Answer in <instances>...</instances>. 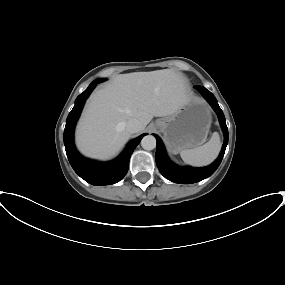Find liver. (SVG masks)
Listing matches in <instances>:
<instances>
[{"label":"liver","instance_id":"1","mask_svg":"<svg viewBox=\"0 0 285 285\" xmlns=\"http://www.w3.org/2000/svg\"><path fill=\"white\" fill-rule=\"evenodd\" d=\"M191 98L185 77L172 69L117 75L89 97L76 130L77 147L88 157L107 159L130 138V119L139 120L142 131L153 117L172 115Z\"/></svg>","mask_w":285,"mask_h":285}]
</instances>
